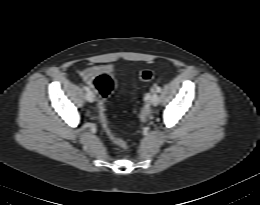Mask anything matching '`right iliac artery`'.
Wrapping results in <instances>:
<instances>
[{"instance_id":"right-iliac-artery-1","label":"right iliac artery","mask_w":260,"mask_h":205,"mask_svg":"<svg viewBox=\"0 0 260 205\" xmlns=\"http://www.w3.org/2000/svg\"><path fill=\"white\" fill-rule=\"evenodd\" d=\"M84 90L88 92L89 91V87L85 86Z\"/></svg>"}]
</instances>
